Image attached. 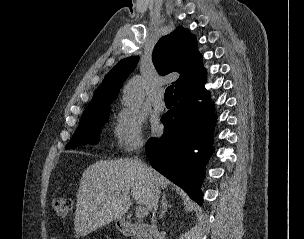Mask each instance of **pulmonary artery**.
Returning <instances> with one entry per match:
<instances>
[{
  "mask_svg": "<svg viewBox=\"0 0 304 239\" xmlns=\"http://www.w3.org/2000/svg\"><path fill=\"white\" fill-rule=\"evenodd\" d=\"M162 97H163V91L160 90L157 92L153 102V106L156 110L162 111L165 108V102Z\"/></svg>",
  "mask_w": 304,
  "mask_h": 239,
  "instance_id": "obj_1",
  "label": "pulmonary artery"
}]
</instances>
